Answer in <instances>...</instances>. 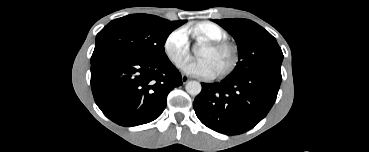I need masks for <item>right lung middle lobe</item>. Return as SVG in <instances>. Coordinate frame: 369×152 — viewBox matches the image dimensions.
Returning a JSON list of instances; mask_svg holds the SVG:
<instances>
[{"instance_id": "right-lung-middle-lobe-1", "label": "right lung middle lobe", "mask_w": 369, "mask_h": 152, "mask_svg": "<svg viewBox=\"0 0 369 152\" xmlns=\"http://www.w3.org/2000/svg\"><path fill=\"white\" fill-rule=\"evenodd\" d=\"M177 27L173 21L148 14L115 19L97 34L91 63L115 55L144 60L164 59L167 57L164 51L166 39Z\"/></svg>"}]
</instances>
